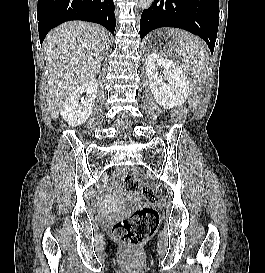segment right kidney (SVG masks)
Listing matches in <instances>:
<instances>
[{"label":"right kidney","instance_id":"right-kidney-1","mask_svg":"<svg viewBox=\"0 0 265 273\" xmlns=\"http://www.w3.org/2000/svg\"><path fill=\"white\" fill-rule=\"evenodd\" d=\"M98 86V81L92 79L77 87L68 96L60 114L69 125L75 127L87 121L95 103ZM83 93H86V98L82 97Z\"/></svg>","mask_w":265,"mask_h":273}]
</instances>
